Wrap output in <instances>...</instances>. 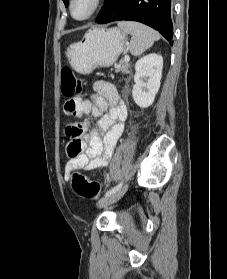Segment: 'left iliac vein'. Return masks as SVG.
<instances>
[{
	"label": "left iliac vein",
	"instance_id": "obj_1",
	"mask_svg": "<svg viewBox=\"0 0 227 279\" xmlns=\"http://www.w3.org/2000/svg\"><path fill=\"white\" fill-rule=\"evenodd\" d=\"M127 188L128 186H124L122 187L121 189H119L118 191H116L115 193L107 196V197H104L103 199H101L97 206L99 208H102V207H105V206H108L116 201H118L124 194L125 192L127 191Z\"/></svg>",
	"mask_w": 227,
	"mask_h": 279
}]
</instances>
